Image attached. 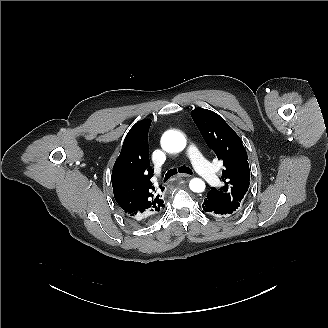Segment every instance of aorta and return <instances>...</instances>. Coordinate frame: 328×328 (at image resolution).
I'll use <instances>...</instances> for the list:
<instances>
[{"instance_id": "762f6f07", "label": "aorta", "mask_w": 328, "mask_h": 328, "mask_svg": "<svg viewBox=\"0 0 328 328\" xmlns=\"http://www.w3.org/2000/svg\"><path fill=\"white\" fill-rule=\"evenodd\" d=\"M161 143L167 152L177 153L185 148L186 138L182 133L170 130L164 133ZM189 187L193 192L200 193L205 190V183L199 178H193L189 183Z\"/></svg>"}]
</instances>
